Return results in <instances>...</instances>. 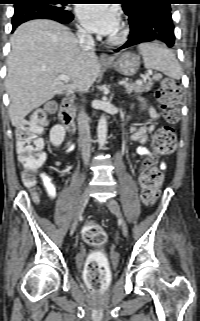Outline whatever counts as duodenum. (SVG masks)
<instances>
[{
  "instance_id": "1",
  "label": "duodenum",
  "mask_w": 200,
  "mask_h": 321,
  "mask_svg": "<svg viewBox=\"0 0 200 321\" xmlns=\"http://www.w3.org/2000/svg\"><path fill=\"white\" fill-rule=\"evenodd\" d=\"M73 96L67 95L65 96L60 104L59 108V118L62 122V124L68 129L73 130L74 129V123H73V116L71 113L72 105H73Z\"/></svg>"
}]
</instances>
